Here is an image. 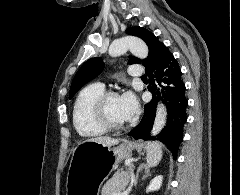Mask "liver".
<instances>
[{
	"label": "liver",
	"mask_w": 240,
	"mask_h": 195,
	"mask_svg": "<svg viewBox=\"0 0 240 195\" xmlns=\"http://www.w3.org/2000/svg\"><path fill=\"white\" fill-rule=\"evenodd\" d=\"M85 141H99V143H105V145H116V143H119V139H114V137H108V135L91 137V139H85Z\"/></svg>",
	"instance_id": "1"
}]
</instances>
